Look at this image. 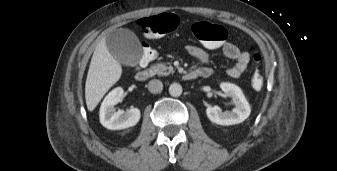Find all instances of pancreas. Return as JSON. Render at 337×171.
<instances>
[{"mask_svg":"<svg viewBox=\"0 0 337 171\" xmlns=\"http://www.w3.org/2000/svg\"><path fill=\"white\" fill-rule=\"evenodd\" d=\"M150 72L155 75H159V76H162V75H168L170 73H173L174 70H173V67H167L165 64H162V63H159V64H155L151 67L150 69Z\"/></svg>","mask_w":337,"mask_h":171,"instance_id":"pancreas-1","label":"pancreas"}]
</instances>
